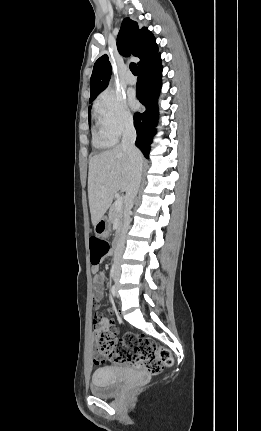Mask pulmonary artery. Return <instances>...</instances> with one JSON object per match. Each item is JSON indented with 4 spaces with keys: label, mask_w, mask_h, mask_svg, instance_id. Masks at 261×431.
<instances>
[{
    "label": "pulmonary artery",
    "mask_w": 261,
    "mask_h": 431,
    "mask_svg": "<svg viewBox=\"0 0 261 431\" xmlns=\"http://www.w3.org/2000/svg\"><path fill=\"white\" fill-rule=\"evenodd\" d=\"M126 83L129 85H134L136 83V78L130 72L126 76Z\"/></svg>",
    "instance_id": "e3ab8cb5"
}]
</instances>
